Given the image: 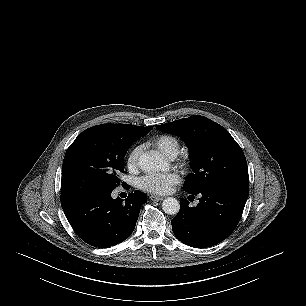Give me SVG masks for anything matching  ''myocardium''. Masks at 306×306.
I'll return each instance as SVG.
<instances>
[{
	"label": "myocardium",
	"instance_id": "1",
	"mask_svg": "<svg viewBox=\"0 0 306 306\" xmlns=\"http://www.w3.org/2000/svg\"><path fill=\"white\" fill-rule=\"evenodd\" d=\"M178 165L182 168V169H186L188 166V161L186 158H180L178 159Z\"/></svg>",
	"mask_w": 306,
	"mask_h": 306
}]
</instances>
